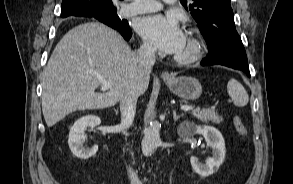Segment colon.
<instances>
[{
    "instance_id": "5ec220e1",
    "label": "colon",
    "mask_w": 293,
    "mask_h": 184,
    "mask_svg": "<svg viewBox=\"0 0 293 184\" xmlns=\"http://www.w3.org/2000/svg\"><path fill=\"white\" fill-rule=\"evenodd\" d=\"M233 121H234L235 129L238 132V134L246 138L248 136V130L246 126L244 125V123L242 122L241 118L239 116H235Z\"/></svg>"
}]
</instances>
